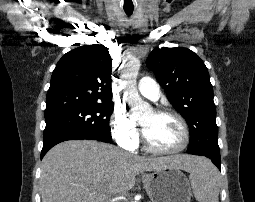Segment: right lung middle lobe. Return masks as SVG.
I'll return each mask as SVG.
<instances>
[{"label": "right lung middle lobe", "mask_w": 255, "mask_h": 202, "mask_svg": "<svg viewBox=\"0 0 255 202\" xmlns=\"http://www.w3.org/2000/svg\"><path fill=\"white\" fill-rule=\"evenodd\" d=\"M113 109V103H93L46 113L44 135L71 130L85 133L99 141L111 142L109 118Z\"/></svg>", "instance_id": "dd1d6c3e"}]
</instances>
